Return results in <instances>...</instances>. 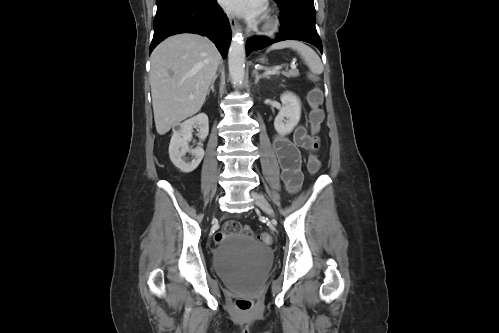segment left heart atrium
I'll return each mask as SVG.
<instances>
[{"mask_svg":"<svg viewBox=\"0 0 499 333\" xmlns=\"http://www.w3.org/2000/svg\"><path fill=\"white\" fill-rule=\"evenodd\" d=\"M220 3L227 12L242 14L250 20L258 19L265 9V0H220Z\"/></svg>","mask_w":499,"mask_h":333,"instance_id":"39dd6f15","label":"left heart atrium"}]
</instances>
